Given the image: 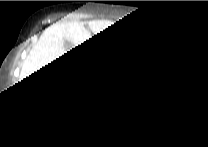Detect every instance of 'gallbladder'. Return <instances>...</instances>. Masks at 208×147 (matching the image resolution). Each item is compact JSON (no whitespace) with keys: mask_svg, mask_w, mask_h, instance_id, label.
<instances>
[{"mask_svg":"<svg viewBox=\"0 0 208 147\" xmlns=\"http://www.w3.org/2000/svg\"><path fill=\"white\" fill-rule=\"evenodd\" d=\"M68 48H69V46H68ZM68 50L70 51V50H72V48H70V49H68Z\"/></svg>","mask_w":208,"mask_h":147,"instance_id":"obj_1","label":"gallbladder"}]
</instances>
